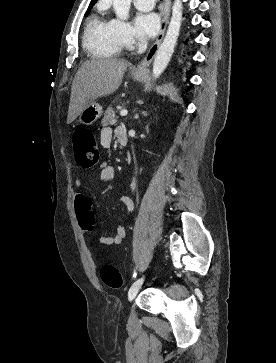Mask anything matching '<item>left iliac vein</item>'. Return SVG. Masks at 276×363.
<instances>
[{
  "label": "left iliac vein",
  "instance_id": "left-iliac-vein-1",
  "mask_svg": "<svg viewBox=\"0 0 276 363\" xmlns=\"http://www.w3.org/2000/svg\"><path fill=\"white\" fill-rule=\"evenodd\" d=\"M144 276L138 278L134 283L131 285L129 292H128V299L131 301L135 298L138 291L140 290L143 282H144Z\"/></svg>",
  "mask_w": 276,
  "mask_h": 363
}]
</instances>
